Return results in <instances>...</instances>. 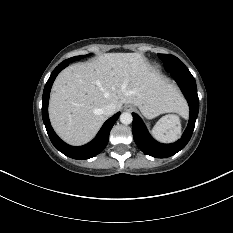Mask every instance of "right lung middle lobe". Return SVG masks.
Returning <instances> with one entry per match:
<instances>
[{"mask_svg":"<svg viewBox=\"0 0 233 233\" xmlns=\"http://www.w3.org/2000/svg\"><path fill=\"white\" fill-rule=\"evenodd\" d=\"M85 56H88V55H85ZM85 56H76V57L69 58V59H67V60H65V61H67V62L70 63V62L79 60V59H81V58H83V57H85Z\"/></svg>","mask_w":233,"mask_h":233,"instance_id":"obj_1","label":"right lung middle lobe"}]
</instances>
